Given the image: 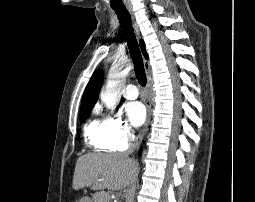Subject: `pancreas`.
Returning a JSON list of instances; mask_svg holds the SVG:
<instances>
[{"instance_id":"obj_1","label":"pancreas","mask_w":255,"mask_h":202,"mask_svg":"<svg viewBox=\"0 0 255 202\" xmlns=\"http://www.w3.org/2000/svg\"><path fill=\"white\" fill-rule=\"evenodd\" d=\"M92 202H110L107 192L100 191L93 195Z\"/></svg>"}]
</instances>
